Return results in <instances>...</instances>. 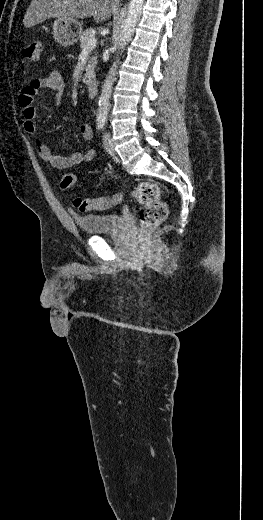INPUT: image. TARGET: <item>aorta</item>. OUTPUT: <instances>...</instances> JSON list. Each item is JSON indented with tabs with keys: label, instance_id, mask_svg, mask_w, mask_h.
<instances>
[{
	"label": "aorta",
	"instance_id": "aorta-1",
	"mask_svg": "<svg viewBox=\"0 0 263 520\" xmlns=\"http://www.w3.org/2000/svg\"><path fill=\"white\" fill-rule=\"evenodd\" d=\"M144 0H130L128 7V14L125 22L122 25L121 36H120V49L123 52L125 46L131 41L132 36L135 32L136 25L140 19ZM119 63V58L116 57V61L113 62L112 67L104 81L102 86L101 95L98 102V120L105 121L109 105L110 97L112 94L113 83L115 80V72Z\"/></svg>",
	"mask_w": 263,
	"mask_h": 520
}]
</instances>
